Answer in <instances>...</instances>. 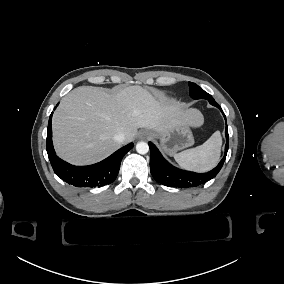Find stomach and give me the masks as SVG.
I'll return each instance as SVG.
<instances>
[{"mask_svg": "<svg viewBox=\"0 0 284 284\" xmlns=\"http://www.w3.org/2000/svg\"><path fill=\"white\" fill-rule=\"evenodd\" d=\"M160 135L162 136V146L169 154L190 147L194 143L187 125H177Z\"/></svg>", "mask_w": 284, "mask_h": 284, "instance_id": "1", "label": "stomach"}]
</instances>
